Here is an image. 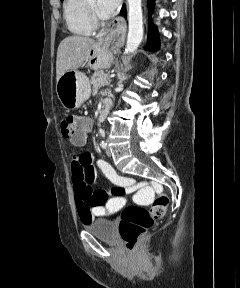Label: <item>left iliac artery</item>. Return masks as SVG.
I'll return each mask as SVG.
<instances>
[{"mask_svg":"<svg viewBox=\"0 0 240 288\" xmlns=\"http://www.w3.org/2000/svg\"><path fill=\"white\" fill-rule=\"evenodd\" d=\"M100 145H101V147H102L103 149H105V148L107 147V143H106L105 141H102V142L100 143Z\"/></svg>","mask_w":240,"mask_h":288,"instance_id":"44dca946","label":"left iliac artery"}]
</instances>
